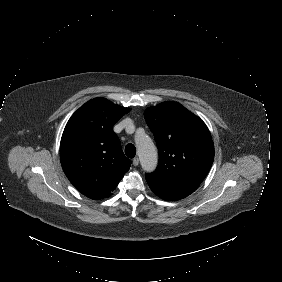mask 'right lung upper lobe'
I'll use <instances>...</instances> for the list:
<instances>
[{
	"mask_svg": "<svg viewBox=\"0 0 282 282\" xmlns=\"http://www.w3.org/2000/svg\"><path fill=\"white\" fill-rule=\"evenodd\" d=\"M131 109L94 98L69 119L60 143L62 168L70 182L91 199L109 197L131 161L123 154L113 125Z\"/></svg>",
	"mask_w": 282,
	"mask_h": 282,
	"instance_id": "right-lung-upper-lobe-1",
	"label": "right lung upper lobe"
}]
</instances>
